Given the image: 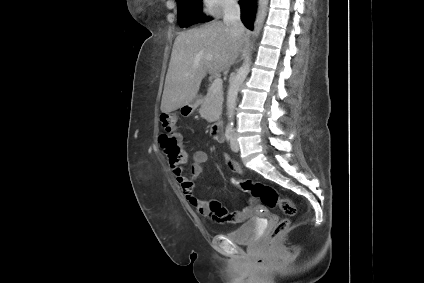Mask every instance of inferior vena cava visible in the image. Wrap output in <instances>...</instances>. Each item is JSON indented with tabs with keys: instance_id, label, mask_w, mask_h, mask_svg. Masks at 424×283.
Returning <instances> with one entry per match:
<instances>
[{
	"instance_id": "1",
	"label": "inferior vena cava",
	"mask_w": 424,
	"mask_h": 283,
	"mask_svg": "<svg viewBox=\"0 0 424 283\" xmlns=\"http://www.w3.org/2000/svg\"><path fill=\"white\" fill-rule=\"evenodd\" d=\"M240 14L241 12L238 0H228L224 8L223 21L236 38H239L244 31Z\"/></svg>"
}]
</instances>
